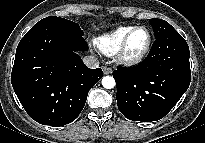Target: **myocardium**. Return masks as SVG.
I'll list each match as a JSON object with an SVG mask.
<instances>
[{
	"label": "myocardium",
	"mask_w": 205,
	"mask_h": 143,
	"mask_svg": "<svg viewBox=\"0 0 205 143\" xmlns=\"http://www.w3.org/2000/svg\"><path fill=\"white\" fill-rule=\"evenodd\" d=\"M139 29H143L147 32V35H148L147 44L140 54H138L137 56H129L127 54L128 42H129L132 34ZM152 40H153L152 33L148 27H146V26H134L125 35V37L123 38L117 52L115 53L116 61L119 64L124 65V66H134V65L141 63L145 59V57L148 55V53L151 49Z\"/></svg>",
	"instance_id": "obj_1"
}]
</instances>
